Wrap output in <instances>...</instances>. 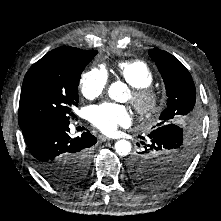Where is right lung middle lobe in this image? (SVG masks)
Masks as SVG:
<instances>
[{
    "instance_id": "obj_1",
    "label": "right lung middle lobe",
    "mask_w": 221,
    "mask_h": 221,
    "mask_svg": "<svg viewBox=\"0 0 221 221\" xmlns=\"http://www.w3.org/2000/svg\"><path fill=\"white\" fill-rule=\"evenodd\" d=\"M97 54L90 51L73 59L39 60L26 73L20 95V127L31 120L50 117L69 120L78 105V85L82 71ZM90 150L68 156L59 166H50L44 177L58 186H70L86 176Z\"/></svg>"
}]
</instances>
